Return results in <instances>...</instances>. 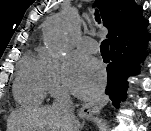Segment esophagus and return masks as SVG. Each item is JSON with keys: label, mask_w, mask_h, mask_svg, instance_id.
Here are the masks:
<instances>
[{"label": "esophagus", "mask_w": 151, "mask_h": 131, "mask_svg": "<svg viewBox=\"0 0 151 131\" xmlns=\"http://www.w3.org/2000/svg\"><path fill=\"white\" fill-rule=\"evenodd\" d=\"M108 101V96L105 94L100 95L99 97L86 103L79 111V116L82 118H88L101 108H103Z\"/></svg>", "instance_id": "1"}]
</instances>
